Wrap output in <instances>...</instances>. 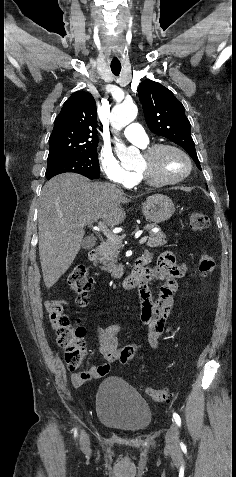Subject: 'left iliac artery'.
Wrapping results in <instances>:
<instances>
[{"label":"left iliac artery","mask_w":236,"mask_h":477,"mask_svg":"<svg viewBox=\"0 0 236 477\" xmlns=\"http://www.w3.org/2000/svg\"><path fill=\"white\" fill-rule=\"evenodd\" d=\"M173 418L176 422V424L180 427L181 426V418L177 413H173Z\"/></svg>","instance_id":"1"}]
</instances>
